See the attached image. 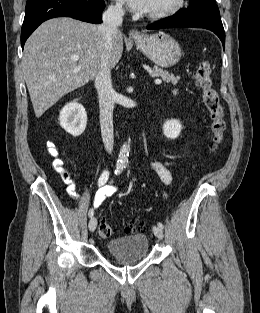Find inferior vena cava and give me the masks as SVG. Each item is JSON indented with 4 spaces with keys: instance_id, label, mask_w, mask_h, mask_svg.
<instances>
[{
    "instance_id": "1",
    "label": "inferior vena cava",
    "mask_w": 260,
    "mask_h": 313,
    "mask_svg": "<svg viewBox=\"0 0 260 313\" xmlns=\"http://www.w3.org/2000/svg\"><path fill=\"white\" fill-rule=\"evenodd\" d=\"M123 16L124 10L122 6L111 5L103 13V22L99 26L103 52L95 76V87L99 97L101 135L104 147L108 153H112L114 145V89L112 87L109 59L112 51V42L118 32V27L122 24Z\"/></svg>"
}]
</instances>
